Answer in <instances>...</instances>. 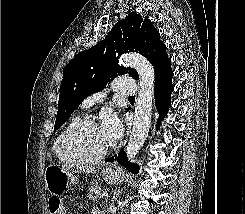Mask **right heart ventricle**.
I'll return each mask as SVG.
<instances>
[{
    "label": "right heart ventricle",
    "instance_id": "1",
    "mask_svg": "<svg viewBox=\"0 0 245 214\" xmlns=\"http://www.w3.org/2000/svg\"><path fill=\"white\" fill-rule=\"evenodd\" d=\"M82 119V115L77 113L74 114L73 116H71L67 122L65 123V125L62 127V129L60 130V132L58 133V135L56 136L54 142H53V151L58 159L59 162H61L62 164L65 165H72L74 164V162H72L71 160H69L68 158H66L64 156V154L62 153L61 150V142L62 139L64 137V135L66 134V132L77 122H79Z\"/></svg>",
    "mask_w": 245,
    "mask_h": 214
}]
</instances>
